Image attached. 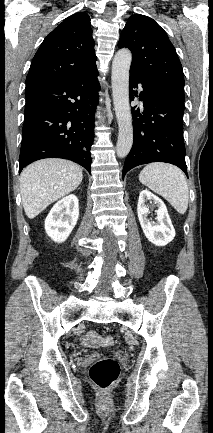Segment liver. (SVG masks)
Instances as JSON below:
<instances>
[{
	"label": "liver",
	"instance_id": "liver-1",
	"mask_svg": "<svg viewBox=\"0 0 213 433\" xmlns=\"http://www.w3.org/2000/svg\"><path fill=\"white\" fill-rule=\"evenodd\" d=\"M82 179L81 167L65 159H43L27 166L20 175V192L27 217L35 218L51 203L74 191Z\"/></svg>",
	"mask_w": 213,
	"mask_h": 433
}]
</instances>
